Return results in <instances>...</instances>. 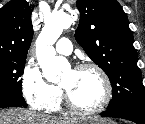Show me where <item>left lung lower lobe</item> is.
Returning a JSON list of instances; mask_svg holds the SVG:
<instances>
[{"instance_id":"left-lung-lower-lobe-1","label":"left lung lower lobe","mask_w":145,"mask_h":124,"mask_svg":"<svg viewBox=\"0 0 145 124\" xmlns=\"http://www.w3.org/2000/svg\"><path fill=\"white\" fill-rule=\"evenodd\" d=\"M103 117H117L135 122L136 124H145V110L133 107H122L117 109H108L101 113Z\"/></svg>"}]
</instances>
